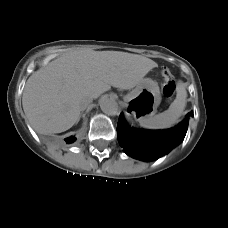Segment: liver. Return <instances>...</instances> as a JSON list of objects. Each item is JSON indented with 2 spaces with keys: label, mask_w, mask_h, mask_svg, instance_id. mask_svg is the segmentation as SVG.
<instances>
[{
  "label": "liver",
  "mask_w": 228,
  "mask_h": 228,
  "mask_svg": "<svg viewBox=\"0 0 228 228\" xmlns=\"http://www.w3.org/2000/svg\"><path fill=\"white\" fill-rule=\"evenodd\" d=\"M157 63L119 51L65 53L34 72L26 82L22 106L32 128L61 133L78 122L82 96L98 98L111 86L132 89Z\"/></svg>",
  "instance_id": "obj_1"
}]
</instances>
